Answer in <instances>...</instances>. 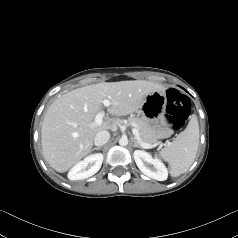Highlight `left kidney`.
<instances>
[{
	"mask_svg": "<svg viewBox=\"0 0 238 238\" xmlns=\"http://www.w3.org/2000/svg\"><path fill=\"white\" fill-rule=\"evenodd\" d=\"M134 160L140 171L152 179L164 181L168 177V170L162 161L153 158L149 153L136 150L133 153Z\"/></svg>",
	"mask_w": 238,
	"mask_h": 238,
	"instance_id": "5707ae66",
	"label": "left kidney"
}]
</instances>
